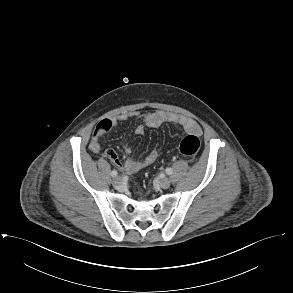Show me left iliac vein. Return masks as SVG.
Wrapping results in <instances>:
<instances>
[{
	"label": "left iliac vein",
	"instance_id": "4c4485c4",
	"mask_svg": "<svg viewBox=\"0 0 293 293\" xmlns=\"http://www.w3.org/2000/svg\"><path fill=\"white\" fill-rule=\"evenodd\" d=\"M158 184L161 188L167 189L170 186V180L168 178L163 177L158 180Z\"/></svg>",
	"mask_w": 293,
	"mask_h": 293
}]
</instances>
